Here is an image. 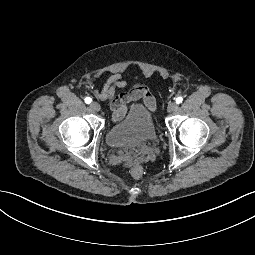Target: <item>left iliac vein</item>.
<instances>
[{"instance_id": "obj_1", "label": "left iliac vein", "mask_w": 255, "mask_h": 255, "mask_svg": "<svg viewBox=\"0 0 255 255\" xmlns=\"http://www.w3.org/2000/svg\"><path fill=\"white\" fill-rule=\"evenodd\" d=\"M177 103L176 102H170L167 106V111L168 112H173L177 109Z\"/></svg>"}]
</instances>
